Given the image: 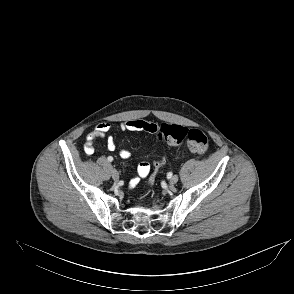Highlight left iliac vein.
<instances>
[{"mask_svg":"<svg viewBox=\"0 0 294 294\" xmlns=\"http://www.w3.org/2000/svg\"><path fill=\"white\" fill-rule=\"evenodd\" d=\"M179 177L177 175L172 176V179H169V184L174 185L178 182Z\"/></svg>","mask_w":294,"mask_h":294,"instance_id":"4c4485c4","label":"left iliac vein"}]
</instances>
